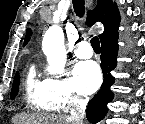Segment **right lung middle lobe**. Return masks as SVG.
Returning <instances> with one entry per match:
<instances>
[{"mask_svg":"<svg viewBox=\"0 0 145 124\" xmlns=\"http://www.w3.org/2000/svg\"><path fill=\"white\" fill-rule=\"evenodd\" d=\"M18 90H19V74L17 72L15 77H14L12 90H11V98L12 99L17 95Z\"/></svg>","mask_w":145,"mask_h":124,"instance_id":"1","label":"right lung middle lobe"}]
</instances>
